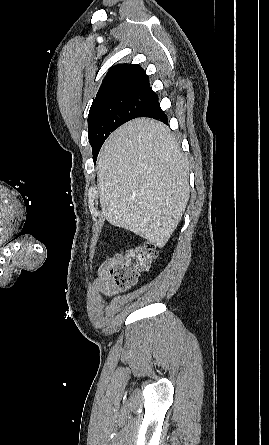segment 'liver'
<instances>
[{"instance_id": "1", "label": "liver", "mask_w": 269, "mask_h": 445, "mask_svg": "<svg viewBox=\"0 0 269 445\" xmlns=\"http://www.w3.org/2000/svg\"><path fill=\"white\" fill-rule=\"evenodd\" d=\"M102 213L163 247L179 224L189 197V163L168 127L132 120L105 141L98 156Z\"/></svg>"}]
</instances>
